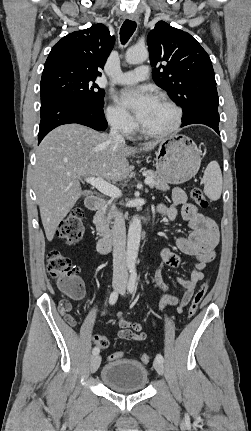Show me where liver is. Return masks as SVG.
<instances>
[{"label": "liver", "mask_w": 251, "mask_h": 431, "mask_svg": "<svg viewBox=\"0 0 251 431\" xmlns=\"http://www.w3.org/2000/svg\"><path fill=\"white\" fill-rule=\"evenodd\" d=\"M158 142L143 144L150 151ZM137 150L110 135L72 123L51 131L36 152L34 187L46 238L52 241L59 223L83 194V177L121 181L132 171L127 160Z\"/></svg>", "instance_id": "6515ba94"}]
</instances>
